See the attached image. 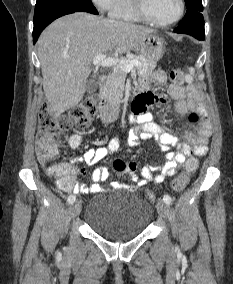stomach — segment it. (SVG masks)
<instances>
[{
    "label": "stomach",
    "instance_id": "stomach-1",
    "mask_svg": "<svg viewBox=\"0 0 233 284\" xmlns=\"http://www.w3.org/2000/svg\"><path fill=\"white\" fill-rule=\"evenodd\" d=\"M139 49L141 56L156 63L164 54L165 41L158 35L150 34L141 42Z\"/></svg>",
    "mask_w": 233,
    "mask_h": 284
}]
</instances>
